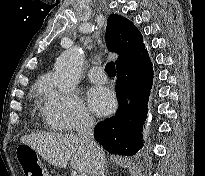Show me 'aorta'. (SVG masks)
<instances>
[{
    "label": "aorta",
    "mask_w": 205,
    "mask_h": 176,
    "mask_svg": "<svg viewBox=\"0 0 205 176\" xmlns=\"http://www.w3.org/2000/svg\"><path fill=\"white\" fill-rule=\"evenodd\" d=\"M83 51L79 47L63 52L54 66L55 85L61 92L75 89L82 76Z\"/></svg>",
    "instance_id": "obj_1"
}]
</instances>
